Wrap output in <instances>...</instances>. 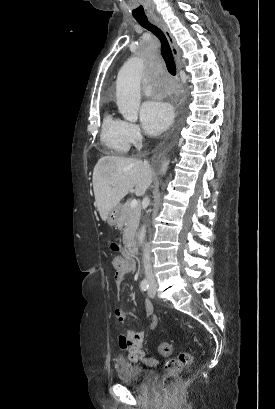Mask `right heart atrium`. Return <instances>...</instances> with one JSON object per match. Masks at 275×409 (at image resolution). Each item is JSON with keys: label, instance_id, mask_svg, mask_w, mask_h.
<instances>
[{"label": "right heart atrium", "instance_id": "obj_1", "mask_svg": "<svg viewBox=\"0 0 275 409\" xmlns=\"http://www.w3.org/2000/svg\"><path fill=\"white\" fill-rule=\"evenodd\" d=\"M126 128L130 142L134 145L139 144L143 139V130L141 126L136 123L126 122Z\"/></svg>", "mask_w": 275, "mask_h": 409}]
</instances>
